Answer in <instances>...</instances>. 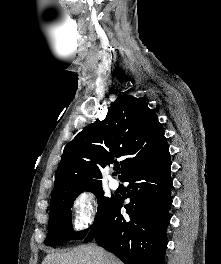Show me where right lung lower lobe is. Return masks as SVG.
Returning <instances> with one entry per match:
<instances>
[{
	"mask_svg": "<svg viewBox=\"0 0 221 264\" xmlns=\"http://www.w3.org/2000/svg\"><path fill=\"white\" fill-rule=\"evenodd\" d=\"M169 152L155 163L127 174L122 181L129 182L124 198L116 197L111 208L93 228L85 242L95 239L124 264H164L166 227L170 222L172 204Z\"/></svg>",
	"mask_w": 221,
	"mask_h": 264,
	"instance_id": "obj_1",
	"label": "right lung lower lobe"
}]
</instances>
